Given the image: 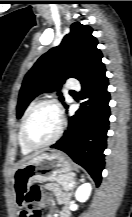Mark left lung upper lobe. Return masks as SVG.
<instances>
[{
    "instance_id": "left-lung-upper-lobe-1",
    "label": "left lung upper lobe",
    "mask_w": 132,
    "mask_h": 217,
    "mask_svg": "<svg viewBox=\"0 0 132 217\" xmlns=\"http://www.w3.org/2000/svg\"><path fill=\"white\" fill-rule=\"evenodd\" d=\"M92 28L75 22L61 44L42 55L26 74L20 89L17 118L20 119L30 101L40 93L60 90L68 78L80 82L101 64L102 53ZM61 95V93H58ZM63 101V97L60 96ZM65 105V104H64ZM67 108V106L65 105Z\"/></svg>"
}]
</instances>
